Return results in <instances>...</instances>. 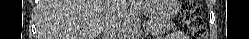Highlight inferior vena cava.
<instances>
[{"mask_svg":"<svg viewBox=\"0 0 249 39\" xmlns=\"http://www.w3.org/2000/svg\"><path fill=\"white\" fill-rule=\"evenodd\" d=\"M115 5L117 6V2H120L122 0H114ZM120 21L119 16L117 14H113L104 22V25L102 26V31L104 32V37L106 39H113L112 37L116 34L118 27H119Z\"/></svg>","mask_w":249,"mask_h":39,"instance_id":"inferior-vena-cava-1","label":"inferior vena cava"}]
</instances>
